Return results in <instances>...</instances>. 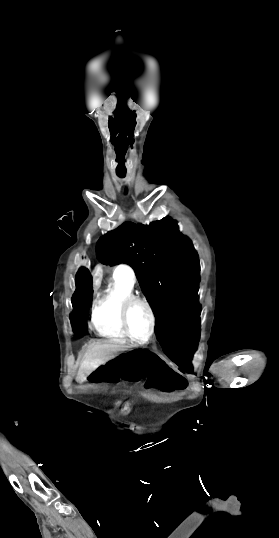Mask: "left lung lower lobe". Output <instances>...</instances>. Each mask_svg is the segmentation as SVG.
<instances>
[{
	"mask_svg": "<svg viewBox=\"0 0 279 538\" xmlns=\"http://www.w3.org/2000/svg\"><path fill=\"white\" fill-rule=\"evenodd\" d=\"M156 335L167 357L175 362L182 372L193 373L191 359L199 340V326L183 332H156Z\"/></svg>",
	"mask_w": 279,
	"mask_h": 538,
	"instance_id": "obj_1",
	"label": "left lung lower lobe"
}]
</instances>
